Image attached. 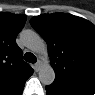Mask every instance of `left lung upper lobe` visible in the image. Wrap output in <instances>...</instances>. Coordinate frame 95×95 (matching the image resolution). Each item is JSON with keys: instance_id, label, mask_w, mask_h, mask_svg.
Returning <instances> with one entry per match:
<instances>
[{"instance_id": "1", "label": "left lung upper lobe", "mask_w": 95, "mask_h": 95, "mask_svg": "<svg viewBox=\"0 0 95 95\" xmlns=\"http://www.w3.org/2000/svg\"><path fill=\"white\" fill-rule=\"evenodd\" d=\"M31 26L47 42L54 83L70 81L95 88V26L65 13L42 14Z\"/></svg>"}]
</instances>
